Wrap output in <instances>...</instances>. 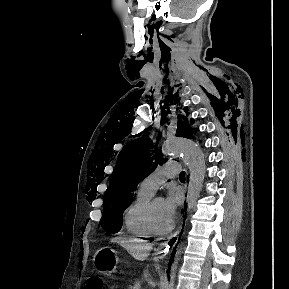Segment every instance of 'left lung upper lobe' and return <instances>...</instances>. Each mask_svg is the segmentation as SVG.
I'll return each mask as SVG.
<instances>
[{
  "mask_svg": "<svg viewBox=\"0 0 289 289\" xmlns=\"http://www.w3.org/2000/svg\"><path fill=\"white\" fill-rule=\"evenodd\" d=\"M178 128V137L193 138V130L187 122L180 123ZM163 161L157 144L153 146L148 136L129 142L123 148L103 197L104 212L100 224L107 233L121 229L123 212L132 203L137 184Z\"/></svg>",
  "mask_w": 289,
  "mask_h": 289,
  "instance_id": "5c2ea615",
  "label": "left lung upper lobe"
}]
</instances>
